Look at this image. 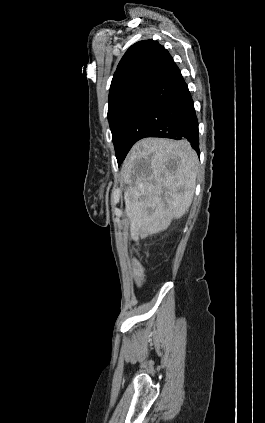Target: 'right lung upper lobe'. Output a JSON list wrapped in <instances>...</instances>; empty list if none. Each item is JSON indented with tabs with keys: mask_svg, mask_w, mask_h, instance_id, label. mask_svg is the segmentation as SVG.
<instances>
[{
	"mask_svg": "<svg viewBox=\"0 0 265 423\" xmlns=\"http://www.w3.org/2000/svg\"><path fill=\"white\" fill-rule=\"evenodd\" d=\"M174 63L167 50L157 41L143 40L124 54L114 73L109 106L135 92H149Z\"/></svg>",
	"mask_w": 265,
	"mask_h": 423,
	"instance_id": "cb5924a9",
	"label": "right lung upper lobe"
}]
</instances>
